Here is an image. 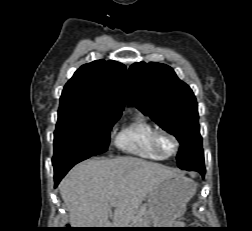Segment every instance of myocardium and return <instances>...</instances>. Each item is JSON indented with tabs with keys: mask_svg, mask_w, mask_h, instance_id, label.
I'll list each match as a JSON object with an SVG mask.
<instances>
[{
	"mask_svg": "<svg viewBox=\"0 0 252 231\" xmlns=\"http://www.w3.org/2000/svg\"><path fill=\"white\" fill-rule=\"evenodd\" d=\"M166 135L169 136L175 143V149L171 154H165L161 147H160V138L161 136ZM152 145L155 149V151L163 158V159H169L173 156H175L179 149H180V140L178 139V137L172 133L171 131L167 130V129H163V128H158L156 129V131L154 132L153 136H152Z\"/></svg>",
	"mask_w": 252,
	"mask_h": 231,
	"instance_id": "obj_1",
	"label": "myocardium"
}]
</instances>
